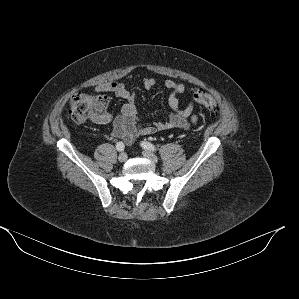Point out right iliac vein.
Wrapping results in <instances>:
<instances>
[{"mask_svg": "<svg viewBox=\"0 0 299 299\" xmlns=\"http://www.w3.org/2000/svg\"><path fill=\"white\" fill-rule=\"evenodd\" d=\"M127 154L126 153H121L119 156H118V160H119V162H121V163H123V162H125L126 160H127Z\"/></svg>", "mask_w": 299, "mask_h": 299, "instance_id": "63e3f726", "label": "right iliac vein"}]
</instances>
